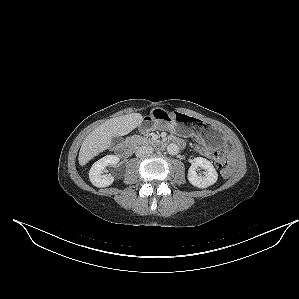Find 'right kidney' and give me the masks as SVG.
<instances>
[{
    "mask_svg": "<svg viewBox=\"0 0 299 299\" xmlns=\"http://www.w3.org/2000/svg\"><path fill=\"white\" fill-rule=\"evenodd\" d=\"M118 163L119 158L115 155H107L96 161L89 171L91 183L99 188L110 186L114 182V177L111 174H103L104 169L108 165L116 167Z\"/></svg>",
    "mask_w": 299,
    "mask_h": 299,
    "instance_id": "obj_1",
    "label": "right kidney"
}]
</instances>
